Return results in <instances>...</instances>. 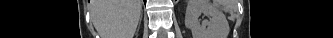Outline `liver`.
I'll return each instance as SVG.
<instances>
[{"label": "liver", "instance_id": "1", "mask_svg": "<svg viewBox=\"0 0 333 38\" xmlns=\"http://www.w3.org/2000/svg\"><path fill=\"white\" fill-rule=\"evenodd\" d=\"M141 0H92L90 13L102 38H133L141 14Z\"/></svg>", "mask_w": 333, "mask_h": 38}]
</instances>
